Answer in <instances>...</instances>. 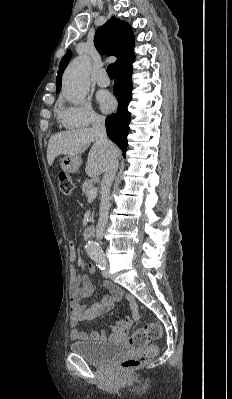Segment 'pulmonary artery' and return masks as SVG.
<instances>
[{
  "mask_svg": "<svg viewBox=\"0 0 232 399\" xmlns=\"http://www.w3.org/2000/svg\"><path fill=\"white\" fill-rule=\"evenodd\" d=\"M94 83H97V90H106L107 86L110 85L109 77L106 75L105 69H98L97 75L94 77Z\"/></svg>",
  "mask_w": 232,
  "mask_h": 399,
  "instance_id": "obj_1",
  "label": "pulmonary artery"
}]
</instances>
